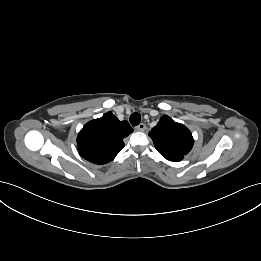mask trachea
I'll return each instance as SVG.
<instances>
[{
    "label": "trachea",
    "mask_w": 261,
    "mask_h": 261,
    "mask_svg": "<svg viewBox=\"0 0 261 261\" xmlns=\"http://www.w3.org/2000/svg\"><path fill=\"white\" fill-rule=\"evenodd\" d=\"M141 122V115L138 112H134L131 116H130V123L133 126L138 125Z\"/></svg>",
    "instance_id": "trachea-1"
}]
</instances>
